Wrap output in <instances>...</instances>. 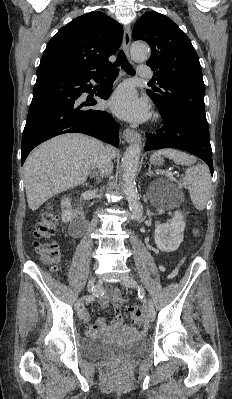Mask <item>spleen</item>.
<instances>
[{
	"instance_id": "spleen-1",
	"label": "spleen",
	"mask_w": 232,
	"mask_h": 399,
	"mask_svg": "<svg viewBox=\"0 0 232 399\" xmlns=\"http://www.w3.org/2000/svg\"><path fill=\"white\" fill-rule=\"evenodd\" d=\"M156 154L173 160L178 166L179 164L180 166H190L186 170L185 178H182V186L189 190L190 200H192L194 207L196 209H205L211 190V174L208 166L206 164L193 166L196 162L194 156H189L185 152H178V150H171V148L158 150Z\"/></svg>"
}]
</instances>
